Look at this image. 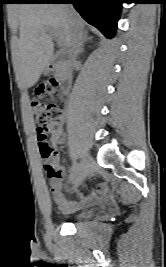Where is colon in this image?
<instances>
[{
    "instance_id": "obj_1",
    "label": "colon",
    "mask_w": 166,
    "mask_h": 267,
    "mask_svg": "<svg viewBox=\"0 0 166 267\" xmlns=\"http://www.w3.org/2000/svg\"><path fill=\"white\" fill-rule=\"evenodd\" d=\"M58 84L55 80L41 85L36 90V96L31 102L32 111L37 124L36 133L40 154L47 162L44 165V171L48 178L52 179L58 175L55 164L52 162L53 150L47 142L49 124L61 116V111L55 103L62 99L58 90ZM47 97L51 101H46Z\"/></svg>"
}]
</instances>
